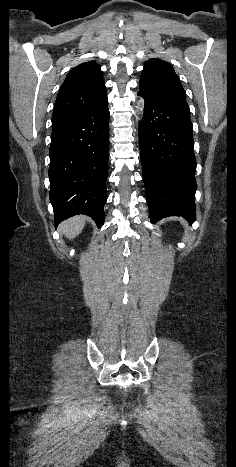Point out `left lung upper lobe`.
Wrapping results in <instances>:
<instances>
[{
  "mask_svg": "<svg viewBox=\"0 0 236 467\" xmlns=\"http://www.w3.org/2000/svg\"><path fill=\"white\" fill-rule=\"evenodd\" d=\"M139 88L150 98L186 102V93L173 67L161 60L149 59L142 71Z\"/></svg>",
  "mask_w": 236,
  "mask_h": 467,
  "instance_id": "obj_1",
  "label": "left lung upper lobe"
}]
</instances>
